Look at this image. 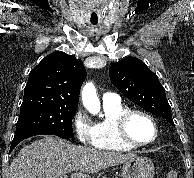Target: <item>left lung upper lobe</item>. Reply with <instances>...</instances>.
<instances>
[{"mask_svg": "<svg viewBox=\"0 0 194 178\" xmlns=\"http://www.w3.org/2000/svg\"><path fill=\"white\" fill-rule=\"evenodd\" d=\"M109 75L113 85L128 99L174 126L164 87L140 59L128 57L112 64Z\"/></svg>", "mask_w": 194, "mask_h": 178, "instance_id": "obj_1", "label": "left lung upper lobe"}]
</instances>
